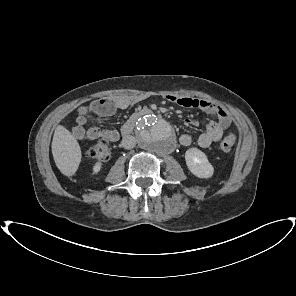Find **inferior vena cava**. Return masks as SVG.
<instances>
[{
    "label": "inferior vena cava",
    "mask_w": 296,
    "mask_h": 296,
    "mask_svg": "<svg viewBox=\"0 0 296 296\" xmlns=\"http://www.w3.org/2000/svg\"><path fill=\"white\" fill-rule=\"evenodd\" d=\"M136 145V139L133 136H126L122 140V146L125 149H132Z\"/></svg>",
    "instance_id": "1"
}]
</instances>
